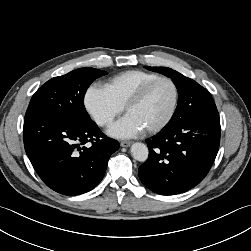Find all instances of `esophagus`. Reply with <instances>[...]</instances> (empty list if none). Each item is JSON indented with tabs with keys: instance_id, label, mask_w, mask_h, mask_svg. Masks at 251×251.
<instances>
[{
	"instance_id": "esophagus-1",
	"label": "esophagus",
	"mask_w": 251,
	"mask_h": 251,
	"mask_svg": "<svg viewBox=\"0 0 251 251\" xmlns=\"http://www.w3.org/2000/svg\"><path fill=\"white\" fill-rule=\"evenodd\" d=\"M132 144L130 141H122L120 143L121 147H129Z\"/></svg>"
}]
</instances>
